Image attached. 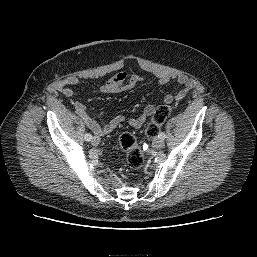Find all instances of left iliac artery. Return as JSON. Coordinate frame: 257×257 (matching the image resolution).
<instances>
[{"label":"left iliac artery","mask_w":257,"mask_h":257,"mask_svg":"<svg viewBox=\"0 0 257 257\" xmlns=\"http://www.w3.org/2000/svg\"><path fill=\"white\" fill-rule=\"evenodd\" d=\"M158 138L164 140V139L166 138L165 133H163V132L159 133V134H158Z\"/></svg>","instance_id":"left-iliac-artery-1"}]
</instances>
